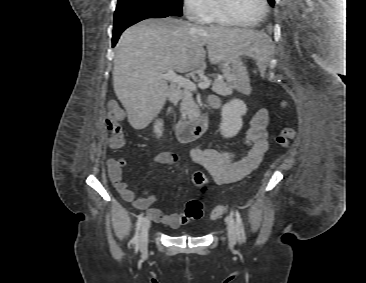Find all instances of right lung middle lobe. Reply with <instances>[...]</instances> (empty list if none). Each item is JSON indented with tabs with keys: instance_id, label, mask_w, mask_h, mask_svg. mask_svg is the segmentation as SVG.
Instances as JSON below:
<instances>
[{
	"instance_id": "obj_1",
	"label": "right lung middle lobe",
	"mask_w": 366,
	"mask_h": 283,
	"mask_svg": "<svg viewBox=\"0 0 366 283\" xmlns=\"http://www.w3.org/2000/svg\"><path fill=\"white\" fill-rule=\"evenodd\" d=\"M156 8L168 14L182 16V0H118L116 11Z\"/></svg>"
}]
</instances>
